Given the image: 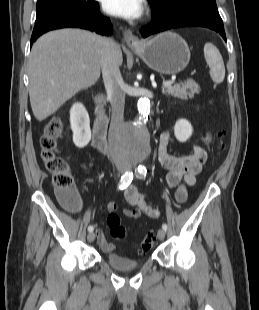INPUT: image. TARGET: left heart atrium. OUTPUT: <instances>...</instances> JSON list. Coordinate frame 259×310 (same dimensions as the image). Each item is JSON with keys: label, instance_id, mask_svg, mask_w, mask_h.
<instances>
[{"label": "left heart atrium", "instance_id": "left-heart-atrium-1", "mask_svg": "<svg viewBox=\"0 0 259 310\" xmlns=\"http://www.w3.org/2000/svg\"><path fill=\"white\" fill-rule=\"evenodd\" d=\"M103 9L110 15L132 20L142 15L144 5L142 0H103Z\"/></svg>", "mask_w": 259, "mask_h": 310}]
</instances>
